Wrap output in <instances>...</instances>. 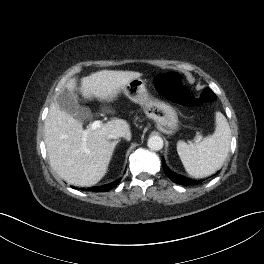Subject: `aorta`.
Returning a JSON list of instances; mask_svg holds the SVG:
<instances>
[{
  "label": "aorta",
  "mask_w": 264,
  "mask_h": 264,
  "mask_svg": "<svg viewBox=\"0 0 264 264\" xmlns=\"http://www.w3.org/2000/svg\"><path fill=\"white\" fill-rule=\"evenodd\" d=\"M148 147L153 151H159L163 148V139L159 136H151L147 142Z\"/></svg>",
  "instance_id": "1"
}]
</instances>
